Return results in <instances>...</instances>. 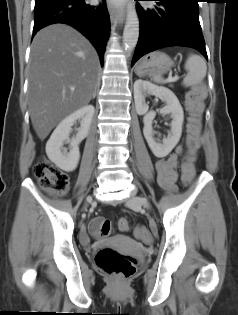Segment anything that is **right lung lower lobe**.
Listing matches in <instances>:
<instances>
[{
    "label": "right lung lower lobe",
    "instance_id": "right-lung-lower-lobe-1",
    "mask_svg": "<svg viewBox=\"0 0 238 315\" xmlns=\"http://www.w3.org/2000/svg\"><path fill=\"white\" fill-rule=\"evenodd\" d=\"M53 23L69 24L86 36L98 51L103 65L110 31L105 2L102 6H91L85 0H35L33 36Z\"/></svg>",
    "mask_w": 238,
    "mask_h": 315
}]
</instances>
